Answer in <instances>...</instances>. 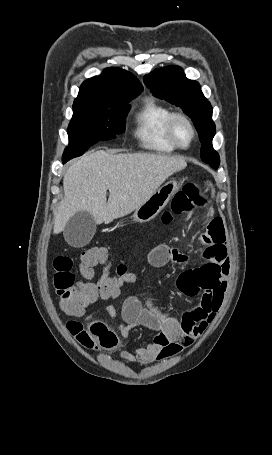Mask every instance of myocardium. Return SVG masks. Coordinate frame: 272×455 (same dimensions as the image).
<instances>
[{"label": "myocardium", "mask_w": 272, "mask_h": 455, "mask_svg": "<svg viewBox=\"0 0 272 455\" xmlns=\"http://www.w3.org/2000/svg\"><path fill=\"white\" fill-rule=\"evenodd\" d=\"M178 120L184 121L191 130V139H190L189 143L186 145H181L177 141L176 136H175L174 126H175L176 121H178ZM165 131H166V136H167L169 142L176 149H179V150L189 149L192 146V144L195 141L196 136H197V131H196V128H195L192 120L186 114H184L182 112H172L169 115V117L167 118V121H166Z\"/></svg>", "instance_id": "myocardium-1"}]
</instances>
